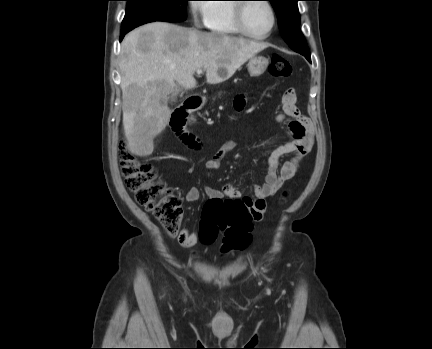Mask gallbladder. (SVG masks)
Segmentation results:
<instances>
[{
	"label": "gallbladder",
	"mask_w": 432,
	"mask_h": 349,
	"mask_svg": "<svg viewBox=\"0 0 432 349\" xmlns=\"http://www.w3.org/2000/svg\"><path fill=\"white\" fill-rule=\"evenodd\" d=\"M178 88V92L180 91V88L179 87H177Z\"/></svg>",
	"instance_id": "obj_1"
}]
</instances>
